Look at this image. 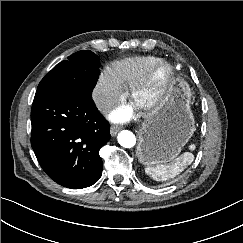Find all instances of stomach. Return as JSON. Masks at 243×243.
Returning <instances> with one entry per match:
<instances>
[{"label": "stomach", "mask_w": 243, "mask_h": 243, "mask_svg": "<svg viewBox=\"0 0 243 243\" xmlns=\"http://www.w3.org/2000/svg\"><path fill=\"white\" fill-rule=\"evenodd\" d=\"M191 96L189 85L178 80L161 110L142 123L137 147V156L142 164L167 163L180 154L195 131Z\"/></svg>", "instance_id": "1"}]
</instances>
